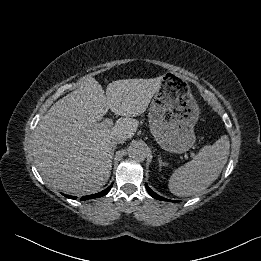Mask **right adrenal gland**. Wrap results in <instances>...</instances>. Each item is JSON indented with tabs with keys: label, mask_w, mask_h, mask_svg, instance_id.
I'll use <instances>...</instances> for the list:
<instances>
[{
	"label": "right adrenal gland",
	"mask_w": 261,
	"mask_h": 261,
	"mask_svg": "<svg viewBox=\"0 0 261 261\" xmlns=\"http://www.w3.org/2000/svg\"><path fill=\"white\" fill-rule=\"evenodd\" d=\"M115 150V147L112 149V151H114Z\"/></svg>",
	"instance_id": "right-adrenal-gland-1"
}]
</instances>
